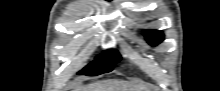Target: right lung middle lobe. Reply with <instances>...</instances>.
I'll list each match as a JSON object with an SVG mask.
<instances>
[{"instance_id":"1","label":"right lung middle lobe","mask_w":220,"mask_h":91,"mask_svg":"<svg viewBox=\"0 0 220 91\" xmlns=\"http://www.w3.org/2000/svg\"><path fill=\"white\" fill-rule=\"evenodd\" d=\"M121 56L115 50H108L96 57V60L90 63L80 71L78 74H85L87 76H96L102 73L110 72L114 65L118 63Z\"/></svg>"}]
</instances>
